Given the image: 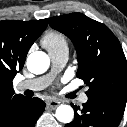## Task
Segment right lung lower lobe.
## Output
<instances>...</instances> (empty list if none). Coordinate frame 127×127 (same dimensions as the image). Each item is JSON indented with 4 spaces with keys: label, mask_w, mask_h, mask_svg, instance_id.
Wrapping results in <instances>:
<instances>
[{
    "label": "right lung lower lobe",
    "mask_w": 127,
    "mask_h": 127,
    "mask_svg": "<svg viewBox=\"0 0 127 127\" xmlns=\"http://www.w3.org/2000/svg\"><path fill=\"white\" fill-rule=\"evenodd\" d=\"M44 109L41 99L21 97L0 112V127H34Z\"/></svg>",
    "instance_id": "1"
}]
</instances>
